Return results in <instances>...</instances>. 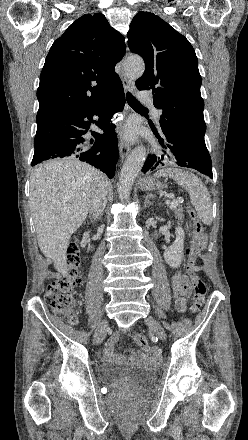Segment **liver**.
<instances>
[{
    "instance_id": "liver-1",
    "label": "liver",
    "mask_w": 248,
    "mask_h": 440,
    "mask_svg": "<svg viewBox=\"0 0 248 440\" xmlns=\"http://www.w3.org/2000/svg\"><path fill=\"white\" fill-rule=\"evenodd\" d=\"M99 170L77 159H54L38 165L30 178V208L38 245L55 269L66 274L71 235L85 221Z\"/></svg>"
}]
</instances>
